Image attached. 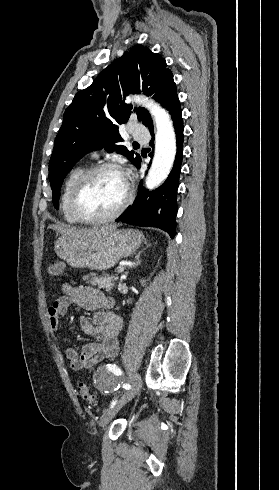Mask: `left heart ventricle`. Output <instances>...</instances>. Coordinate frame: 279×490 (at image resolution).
Masks as SVG:
<instances>
[{
	"mask_svg": "<svg viewBox=\"0 0 279 490\" xmlns=\"http://www.w3.org/2000/svg\"><path fill=\"white\" fill-rule=\"evenodd\" d=\"M126 196L124 178L114 171L97 174L89 183L82 198V209L88 216L113 212Z\"/></svg>",
	"mask_w": 279,
	"mask_h": 490,
	"instance_id": "b2bd125f",
	"label": "left heart ventricle"
}]
</instances>
